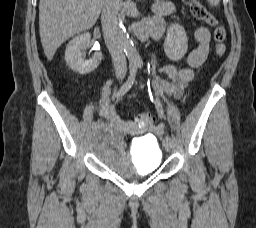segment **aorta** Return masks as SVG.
I'll use <instances>...</instances> for the list:
<instances>
[{
    "instance_id": "aorta-1",
    "label": "aorta",
    "mask_w": 256,
    "mask_h": 228,
    "mask_svg": "<svg viewBox=\"0 0 256 228\" xmlns=\"http://www.w3.org/2000/svg\"><path fill=\"white\" fill-rule=\"evenodd\" d=\"M132 7V2L129 0L125 6L123 7L120 15H119V34L120 40L124 49V52L130 62L131 66H138L142 63L141 57L137 52L136 47L133 44V41L129 37V34L124 27V20L127 13H129Z\"/></svg>"
}]
</instances>
